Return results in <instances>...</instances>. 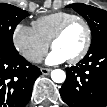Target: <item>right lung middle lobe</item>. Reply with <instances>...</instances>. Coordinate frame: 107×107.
<instances>
[{
	"label": "right lung middle lobe",
	"instance_id": "obj_1",
	"mask_svg": "<svg viewBox=\"0 0 107 107\" xmlns=\"http://www.w3.org/2000/svg\"><path fill=\"white\" fill-rule=\"evenodd\" d=\"M28 16V12L9 4H0V52L16 55L13 32L18 23Z\"/></svg>",
	"mask_w": 107,
	"mask_h": 107
}]
</instances>
